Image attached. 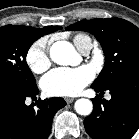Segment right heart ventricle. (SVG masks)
I'll return each mask as SVG.
<instances>
[{
  "mask_svg": "<svg viewBox=\"0 0 139 139\" xmlns=\"http://www.w3.org/2000/svg\"><path fill=\"white\" fill-rule=\"evenodd\" d=\"M89 38L87 35L84 34H78L74 37V44L79 49L81 46V43L84 39Z\"/></svg>",
  "mask_w": 139,
  "mask_h": 139,
  "instance_id": "obj_1",
  "label": "right heart ventricle"
}]
</instances>
